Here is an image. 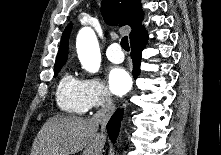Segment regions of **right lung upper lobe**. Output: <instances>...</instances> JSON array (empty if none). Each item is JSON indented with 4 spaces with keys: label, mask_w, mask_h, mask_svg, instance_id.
Masks as SVG:
<instances>
[{
    "label": "right lung upper lobe",
    "mask_w": 221,
    "mask_h": 155,
    "mask_svg": "<svg viewBox=\"0 0 221 155\" xmlns=\"http://www.w3.org/2000/svg\"><path fill=\"white\" fill-rule=\"evenodd\" d=\"M101 11L108 24L131 27L130 41L144 30V27L141 25L143 12L140 0H102ZM71 27V25H68L62 35L54 67L64 65L67 60L68 39Z\"/></svg>",
    "instance_id": "cb5924a9"
}]
</instances>
